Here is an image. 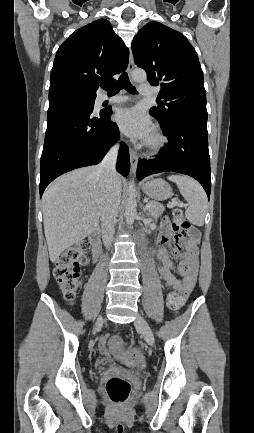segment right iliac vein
Instances as JSON below:
<instances>
[{
	"label": "right iliac vein",
	"mask_w": 254,
	"mask_h": 433,
	"mask_svg": "<svg viewBox=\"0 0 254 433\" xmlns=\"http://www.w3.org/2000/svg\"><path fill=\"white\" fill-rule=\"evenodd\" d=\"M102 322V318H99L97 321V325H99Z\"/></svg>",
	"instance_id": "63e3f726"
}]
</instances>
